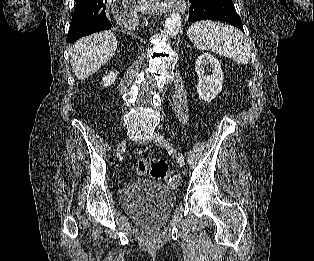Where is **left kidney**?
Returning a JSON list of instances; mask_svg holds the SVG:
<instances>
[{
	"label": "left kidney",
	"instance_id": "5707ae66",
	"mask_svg": "<svg viewBox=\"0 0 314 261\" xmlns=\"http://www.w3.org/2000/svg\"><path fill=\"white\" fill-rule=\"evenodd\" d=\"M212 68V75H204V66ZM195 71L199 77L197 93L199 98L211 102L222 90L224 75L219 61L210 53L201 54L196 61Z\"/></svg>",
	"mask_w": 314,
	"mask_h": 261
}]
</instances>
